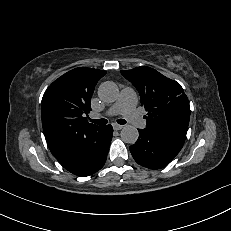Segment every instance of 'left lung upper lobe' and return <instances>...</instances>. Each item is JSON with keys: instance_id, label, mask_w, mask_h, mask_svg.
Instances as JSON below:
<instances>
[{"instance_id": "1", "label": "left lung upper lobe", "mask_w": 231, "mask_h": 231, "mask_svg": "<svg viewBox=\"0 0 231 231\" xmlns=\"http://www.w3.org/2000/svg\"><path fill=\"white\" fill-rule=\"evenodd\" d=\"M121 74L137 88L148 112L146 128L186 138L190 106L179 83L150 67L123 70Z\"/></svg>"}]
</instances>
